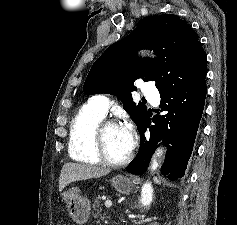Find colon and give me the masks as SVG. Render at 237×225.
<instances>
[{
	"label": "colon",
	"mask_w": 237,
	"mask_h": 225,
	"mask_svg": "<svg viewBox=\"0 0 237 225\" xmlns=\"http://www.w3.org/2000/svg\"><path fill=\"white\" fill-rule=\"evenodd\" d=\"M57 225H68L67 222L65 220H59Z\"/></svg>",
	"instance_id": "1"
}]
</instances>
